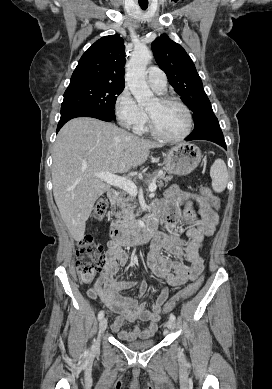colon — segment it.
Segmentation results:
<instances>
[{
    "instance_id": "colon-1",
    "label": "colon",
    "mask_w": 272,
    "mask_h": 389,
    "mask_svg": "<svg viewBox=\"0 0 272 389\" xmlns=\"http://www.w3.org/2000/svg\"><path fill=\"white\" fill-rule=\"evenodd\" d=\"M202 195L214 206L218 207V200L208 187H202ZM108 203L105 199L96 202L93 215L95 218H103L107 212ZM76 271L82 283L90 285L95 281L98 271L105 264L103 247L97 243L93 237L85 236L77 245L76 251ZM202 284V279L190 283L186 288L180 291L176 296L168 300L164 305V311H171L180 301L191 297L197 292Z\"/></svg>"
}]
</instances>
